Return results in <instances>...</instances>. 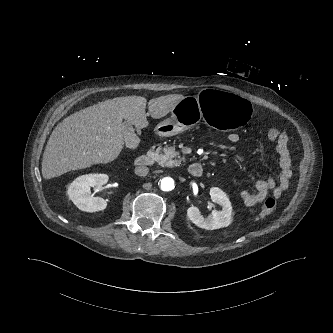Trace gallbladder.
<instances>
[{
  "mask_svg": "<svg viewBox=\"0 0 333 333\" xmlns=\"http://www.w3.org/2000/svg\"><path fill=\"white\" fill-rule=\"evenodd\" d=\"M122 134L125 139L126 145L129 148H136L139 144V138L136 136L131 123L125 121L122 123Z\"/></svg>",
  "mask_w": 333,
  "mask_h": 333,
  "instance_id": "obj_1",
  "label": "gallbladder"
}]
</instances>
